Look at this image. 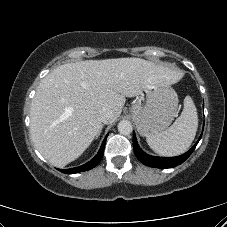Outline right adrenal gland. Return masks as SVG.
Here are the masks:
<instances>
[{"label": "right adrenal gland", "mask_w": 227, "mask_h": 227, "mask_svg": "<svg viewBox=\"0 0 227 227\" xmlns=\"http://www.w3.org/2000/svg\"><path fill=\"white\" fill-rule=\"evenodd\" d=\"M99 135H100V132L96 135V138H98Z\"/></svg>", "instance_id": "1"}]
</instances>
